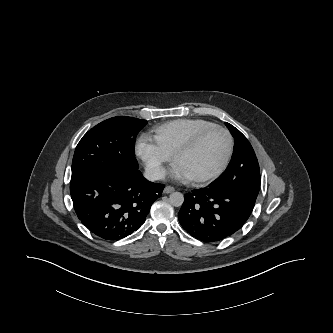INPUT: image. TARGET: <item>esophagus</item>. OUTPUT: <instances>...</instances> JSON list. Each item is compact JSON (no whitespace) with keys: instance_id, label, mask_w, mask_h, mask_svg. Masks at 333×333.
Masks as SVG:
<instances>
[{"instance_id":"esophagus-1","label":"esophagus","mask_w":333,"mask_h":333,"mask_svg":"<svg viewBox=\"0 0 333 333\" xmlns=\"http://www.w3.org/2000/svg\"><path fill=\"white\" fill-rule=\"evenodd\" d=\"M174 190H175L174 187H172V186H166V187L164 188V193H165V194H169V193H172Z\"/></svg>"}]
</instances>
